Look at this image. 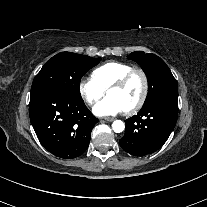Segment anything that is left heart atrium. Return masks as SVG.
Segmentation results:
<instances>
[{
  "label": "left heart atrium",
  "mask_w": 207,
  "mask_h": 207,
  "mask_svg": "<svg viewBox=\"0 0 207 207\" xmlns=\"http://www.w3.org/2000/svg\"><path fill=\"white\" fill-rule=\"evenodd\" d=\"M93 112L97 116L107 117L123 113L125 109L117 99L108 96L94 105Z\"/></svg>",
  "instance_id": "39dd6f15"
}]
</instances>
